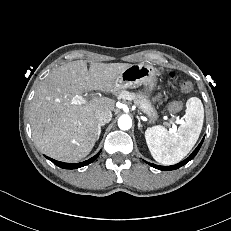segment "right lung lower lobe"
I'll return each mask as SVG.
<instances>
[{
  "label": "right lung lower lobe",
  "instance_id": "1",
  "mask_svg": "<svg viewBox=\"0 0 231 231\" xmlns=\"http://www.w3.org/2000/svg\"><path fill=\"white\" fill-rule=\"evenodd\" d=\"M101 152V151H100ZM100 152L98 154H96L94 157L90 158L89 160H86L84 162H81V163H76V164H71V163H64V162H60V161H57V160H54V159H51L49 157H46L48 158L50 161H52L55 165L61 167V168H64V169H77L79 167H83L85 165H88L90 164L91 162H93L100 154Z\"/></svg>",
  "mask_w": 231,
  "mask_h": 231
}]
</instances>
